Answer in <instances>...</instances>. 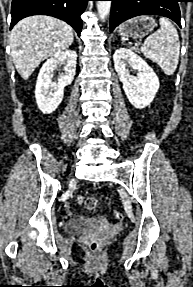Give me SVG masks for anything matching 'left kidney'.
Segmentation results:
<instances>
[{
	"instance_id": "1",
	"label": "left kidney",
	"mask_w": 193,
	"mask_h": 287,
	"mask_svg": "<svg viewBox=\"0 0 193 287\" xmlns=\"http://www.w3.org/2000/svg\"><path fill=\"white\" fill-rule=\"evenodd\" d=\"M113 59L129 102L138 109L149 106L159 89V79L153 69L139 55L126 48L117 49ZM128 65L138 71L136 76L130 74Z\"/></svg>"
}]
</instances>
